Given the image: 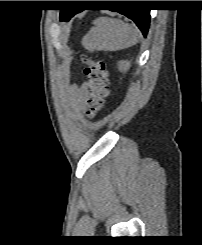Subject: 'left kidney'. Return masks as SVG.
<instances>
[{"label": "left kidney", "instance_id": "obj_1", "mask_svg": "<svg viewBox=\"0 0 202 245\" xmlns=\"http://www.w3.org/2000/svg\"><path fill=\"white\" fill-rule=\"evenodd\" d=\"M130 68V62L129 61H120L118 62V69L121 72H127Z\"/></svg>", "mask_w": 202, "mask_h": 245}]
</instances>
